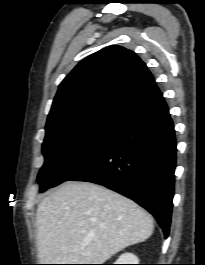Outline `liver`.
I'll list each match as a JSON object with an SVG mask.
<instances>
[{
  "label": "liver",
  "mask_w": 205,
  "mask_h": 265,
  "mask_svg": "<svg viewBox=\"0 0 205 265\" xmlns=\"http://www.w3.org/2000/svg\"><path fill=\"white\" fill-rule=\"evenodd\" d=\"M36 224L43 264H103L154 229L152 216L135 202L88 182H66L45 197Z\"/></svg>",
  "instance_id": "1"
}]
</instances>
